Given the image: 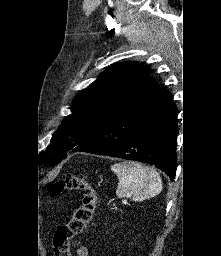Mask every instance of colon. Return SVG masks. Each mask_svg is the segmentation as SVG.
<instances>
[{
	"label": "colon",
	"mask_w": 221,
	"mask_h": 256,
	"mask_svg": "<svg viewBox=\"0 0 221 256\" xmlns=\"http://www.w3.org/2000/svg\"><path fill=\"white\" fill-rule=\"evenodd\" d=\"M76 191L81 195V205L74 211L71 221L54 234L55 256H71L70 243L84 233L91 222L97 206V194L88 178L83 175H69L50 186L52 195Z\"/></svg>",
	"instance_id": "colon-1"
}]
</instances>
